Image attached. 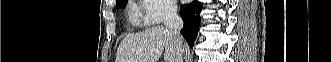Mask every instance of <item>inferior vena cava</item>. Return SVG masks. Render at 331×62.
I'll use <instances>...</instances> for the list:
<instances>
[{
  "mask_svg": "<svg viewBox=\"0 0 331 62\" xmlns=\"http://www.w3.org/2000/svg\"><path fill=\"white\" fill-rule=\"evenodd\" d=\"M164 26L171 34L175 45V53H176V62H183L182 54H183V44L182 38L180 35V30L183 27V20L177 13V6L171 4L166 12L164 18Z\"/></svg>",
  "mask_w": 331,
  "mask_h": 62,
  "instance_id": "1",
  "label": "inferior vena cava"
}]
</instances>
